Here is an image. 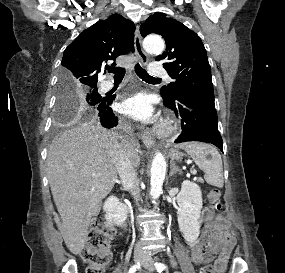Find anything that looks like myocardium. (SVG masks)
Returning <instances> with one entry per match:
<instances>
[{
  "label": "myocardium",
  "mask_w": 285,
  "mask_h": 273,
  "mask_svg": "<svg viewBox=\"0 0 285 273\" xmlns=\"http://www.w3.org/2000/svg\"><path fill=\"white\" fill-rule=\"evenodd\" d=\"M177 130L176 123L171 118L161 120L155 127L154 134L159 138H168Z\"/></svg>",
  "instance_id": "myocardium-1"
}]
</instances>
